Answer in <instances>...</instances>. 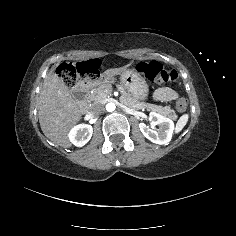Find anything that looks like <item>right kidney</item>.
<instances>
[{
	"label": "right kidney",
	"mask_w": 236,
	"mask_h": 236,
	"mask_svg": "<svg viewBox=\"0 0 236 236\" xmlns=\"http://www.w3.org/2000/svg\"><path fill=\"white\" fill-rule=\"evenodd\" d=\"M93 129L90 125H79L75 127L70 133V139L78 147L84 146L90 139Z\"/></svg>",
	"instance_id": "right-kidney-1"
}]
</instances>
